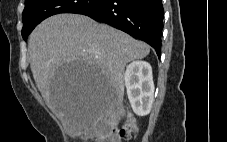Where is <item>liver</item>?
Instances as JSON below:
<instances>
[{
  "label": "liver",
  "mask_w": 227,
  "mask_h": 142,
  "mask_svg": "<svg viewBox=\"0 0 227 142\" xmlns=\"http://www.w3.org/2000/svg\"><path fill=\"white\" fill-rule=\"evenodd\" d=\"M149 52L146 43L79 14L51 16L29 39L35 83L48 107L74 133H91L99 120L121 105L126 64L145 58ZM61 61H92L101 78H93L95 88L74 94V88H60V81H52Z\"/></svg>",
  "instance_id": "liver-1"
}]
</instances>
